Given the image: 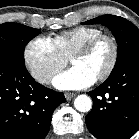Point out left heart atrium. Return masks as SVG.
I'll return each mask as SVG.
<instances>
[{
    "label": "left heart atrium",
    "mask_w": 139,
    "mask_h": 139,
    "mask_svg": "<svg viewBox=\"0 0 139 139\" xmlns=\"http://www.w3.org/2000/svg\"><path fill=\"white\" fill-rule=\"evenodd\" d=\"M96 77L81 67L73 66L68 71L56 76L53 85L61 90H77L91 86Z\"/></svg>",
    "instance_id": "1"
}]
</instances>
